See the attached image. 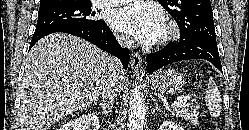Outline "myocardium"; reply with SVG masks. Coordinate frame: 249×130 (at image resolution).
I'll return each instance as SVG.
<instances>
[{
	"instance_id": "obj_1",
	"label": "myocardium",
	"mask_w": 249,
	"mask_h": 130,
	"mask_svg": "<svg viewBox=\"0 0 249 130\" xmlns=\"http://www.w3.org/2000/svg\"><path fill=\"white\" fill-rule=\"evenodd\" d=\"M180 30L174 21H167L164 25V31L160 38V43H168L179 37Z\"/></svg>"
}]
</instances>
